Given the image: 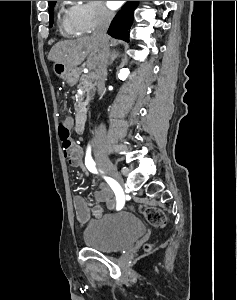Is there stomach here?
Segmentation results:
<instances>
[{"mask_svg":"<svg viewBox=\"0 0 237 300\" xmlns=\"http://www.w3.org/2000/svg\"><path fill=\"white\" fill-rule=\"evenodd\" d=\"M53 73H55L57 77H60V79L67 81L69 85H75L79 77L77 69H73V67H67V65H62V63H56V61L53 65Z\"/></svg>","mask_w":237,"mask_h":300,"instance_id":"stomach-1","label":"stomach"}]
</instances>
